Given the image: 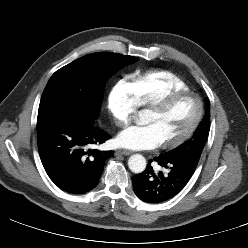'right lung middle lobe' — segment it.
<instances>
[{
	"instance_id": "dd1d6c3e",
	"label": "right lung middle lobe",
	"mask_w": 248,
	"mask_h": 248,
	"mask_svg": "<svg viewBox=\"0 0 248 248\" xmlns=\"http://www.w3.org/2000/svg\"><path fill=\"white\" fill-rule=\"evenodd\" d=\"M135 61L132 56L97 52L81 57L57 70L42 94L38 116L62 114L96 119L105 84L120 68Z\"/></svg>"
}]
</instances>
